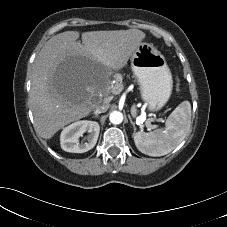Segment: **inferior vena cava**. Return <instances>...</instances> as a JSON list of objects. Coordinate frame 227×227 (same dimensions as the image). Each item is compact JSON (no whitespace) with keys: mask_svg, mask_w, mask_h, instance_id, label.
<instances>
[{"mask_svg":"<svg viewBox=\"0 0 227 227\" xmlns=\"http://www.w3.org/2000/svg\"><path fill=\"white\" fill-rule=\"evenodd\" d=\"M108 108H109V104L107 103V101H104L101 105L95 106L94 113L95 114L104 113L108 110Z\"/></svg>","mask_w":227,"mask_h":227,"instance_id":"1","label":"inferior vena cava"}]
</instances>
